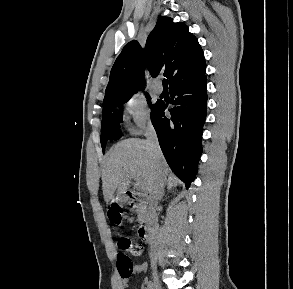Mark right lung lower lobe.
Instances as JSON below:
<instances>
[{
	"label": "right lung lower lobe",
	"mask_w": 293,
	"mask_h": 289,
	"mask_svg": "<svg viewBox=\"0 0 293 289\" xmlns=\"http://www.w3.org/2000/svg\"><path fill=\"white\" fill-rule=\"evenodd\" d=\"M206 76L170 89L171 118L164 110L167 105L158 102L151 111L161 150L172 171L185 183L194 180L202 153V133L207 111Z\"/></svg>",
	"instance_id": "obj_1"
}]
</instances>
